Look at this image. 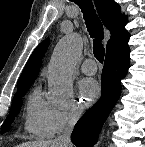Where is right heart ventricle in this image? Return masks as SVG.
<instances>
[{"label": "right heart ventricle", "instance_id": "1", "mask_svg": "<svg viewBox=\"0 0 145 147\" xmlns=\"http://www.w3.org/2000/svg\"><path fill=\"white\" fill-rule=\"evenodd\" d=\"M55 107L46 101L39 88L29 95L25 107V130L37 138L51 137L53 132L52 114Z\"/></svg>", "mask_w": 145, "mask_h": 147}]
</instances>
